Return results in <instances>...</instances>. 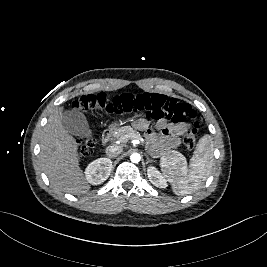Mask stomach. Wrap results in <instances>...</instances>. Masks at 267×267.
<instances>
[{
	"label": "stomach",
	"instance_id": "1",
	"mask_svg": "<svg viewBox=\"0 0 267 267\" xmlns=\"http://www.w3.org/2000/svg\"><path fill=\"white\" fill-rule=\"evenodd\" d=\"M122 122L121 120H119V123ZM119 123L115 122L114 125H118Z\"/></svg>",
	"mask_w": 267,
	"mask_h": 267
}]
</instances>
